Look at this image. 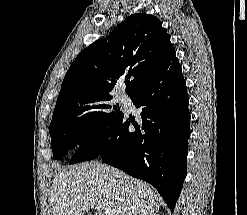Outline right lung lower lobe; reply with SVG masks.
Returning a JSON list of instances; mask_svg holds the SVG:
<instances>
[{
    "instance_id": "1",
    "label": "right lung lower lobe",
    "mask_w": 247,
    "mask_h": 215,
    "mask_svg": "<svg viewBox=\"0 0 247 215\" xmlns=\"http://www.w3.org/2000/svg\"><path fill=\"white\" fill-rule=\"evenodd\" d=\"M129 95L142 110L139 122L122 113L104 132L81 143L69 164L101 157L153 185L173 212L187 173L190 137L189 98L175 50Z\"/></svg>"
}]
</instances>
